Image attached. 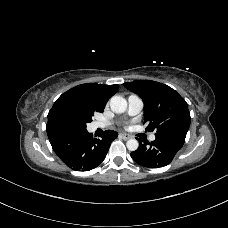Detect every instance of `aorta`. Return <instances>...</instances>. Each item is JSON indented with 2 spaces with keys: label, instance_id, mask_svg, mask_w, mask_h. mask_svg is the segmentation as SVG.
<instances>
[{
  "label": "aorta",
  "instance_id": "obj_1",
  "mask_svg": "<svg viewBox=\"0 0 228 228\" xmlns=\"http://www.w3.org/2000/svg\"><path fill=\"white\" fill-rule=\"evenodd\" d=\"M110 108L117 114L124 113L127 109V101L121 96H113L110 99ZM126 146L128 150L136 151L139 147V143L136 139H129L126 142Z\"/></svg>",
  "mask_w": 228,
  "mask_h": 228
}]
</instances>
